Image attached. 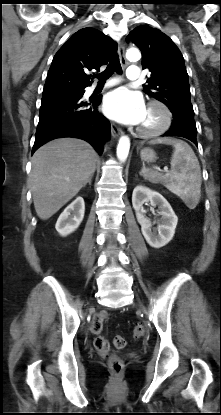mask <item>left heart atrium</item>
Wrapping results in <instances>:
<instances>
[{"mask_svg": "<svg viewBox=\"0 0 221 415\" xmlns=\"http://www.w3.org/2000/svg\"><path fill=\"white\" fill-rule=\"evenodd\" d=\"M102 108L108 118L129 125L140 124L146 111L141 94L125 87L109 92Z\"/></svg>", "mask_w": 221, "mask_h": 415, "instance_id": "left-heart-atrium-1", "label": "left heart atrium"}]
</instances>
